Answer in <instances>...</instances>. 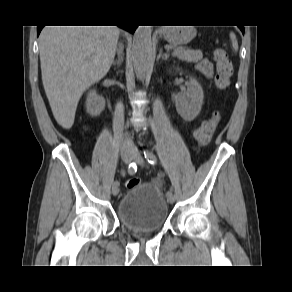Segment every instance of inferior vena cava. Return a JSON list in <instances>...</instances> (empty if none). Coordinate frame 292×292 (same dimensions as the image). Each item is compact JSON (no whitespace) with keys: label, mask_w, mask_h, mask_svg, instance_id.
Instances as JSON below:
<instances>
[{"label":"inferior vena cava","mask_w":292,"mask_h":292,"mask_svg":"<svg viewBox=\"0 0 292 292\" xmlns=\"http://www.w3.org/2000/svg\"><path fill=\"white\" fill-rule=\"evenodd\" d=\"M121 45H120V49H121ZM134 149V143L132 141V139L128 136V134H125V137L122 141V150L123 151H131Z\"/></svg>","instance_id":"obj_1"}]
</instances>
